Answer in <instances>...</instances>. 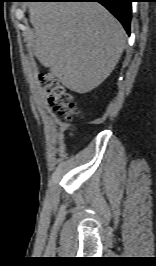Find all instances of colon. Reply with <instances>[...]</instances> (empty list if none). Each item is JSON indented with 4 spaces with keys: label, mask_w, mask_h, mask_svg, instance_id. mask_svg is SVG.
Here are the masks:
<instances>
[{
    "label": "colon",
    "mask_w": 156,
    "mask_h": 266,
    "mask_svg": "<svg viewBox=\"0 0 156 266\" xmlns=\"http://www.w3.org/2000/svg\"><path fill=\"white\" fill-rule=\"evenodd\" d=\"M40 80L45 84V91L53 111L66 122H71L80 116L79 108L73 96L68 93L60 82L50 73L40 74Z\"/></svg>",
    "instance_id": "1"
}]
</instances>
